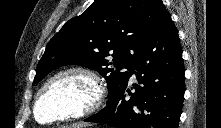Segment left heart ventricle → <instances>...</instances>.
<instances>
[{
	"label": "left heart ventricle",
	"instance_id": "obj_1",
	"mask_svg": "<svg viewBox=\"0 0 221 128\" xmlns=\"http://www.w3.org/2000/svg\"><path fill=\"white\" fill-rule=\"evenodd\" d=\"M87 83L74 76H65L46 91L37 110L38 118L47 121L68 110H78L88 98Z\"/></svg>",
	"mask_w": 221,
	"mask_h": 128
}]
</instances>
